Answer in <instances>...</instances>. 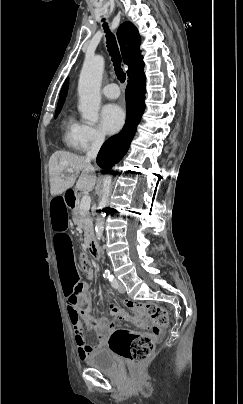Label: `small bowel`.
<instances>
[{"mask_svg":"<svg viewBox=\"0 0 243 404\" xmlns=\"http://www.w3.org/2000/svg\"><path fill=\"white\" fill-rule=\"evenodd\" d=\"M50 221L54 233V249L66 298L67 311L74 328L78 355L84 360L95 347L86 342L80 319L82 318L87 327L96 335L97 347H103L106 344L107 338L114 331V325L107 322L94 325L91 321L87 285L79 279L74 262L72 242L68 234V206L64 193L52 197ZM88 278H93V272L88 273ZM107 297L110 300L109 293H107ZM111 311L115 317H120L122 314L114 303H111Z\"/></svg>","mask_w":243,"mask_h":404,"instance_id":"obj_1","label":"small bowel"}]
</instances>
